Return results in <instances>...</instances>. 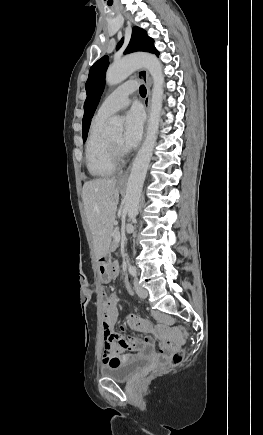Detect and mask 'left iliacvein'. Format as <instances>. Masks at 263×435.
Listing matches in <instances>:
<instances>
[{"mask_svg": "<svg viewBox=\"0 0 263 435\" xmlns=\"http://www.w3.org/2000/svg\"><path fill=\"white\" fill-rule=\"evenodd\" d=\"M134 286H135L136 293L140 298H147L148 296L147 290L138 283L137 279H135L134 281Z\"/></svg>", "mask_w": 263, "mask_h": 435, "instance_id": "4c4485c4", "label": "left iliac vein"}]
</instances>
